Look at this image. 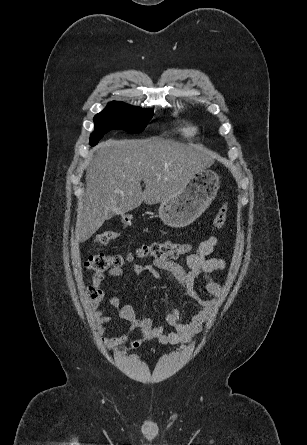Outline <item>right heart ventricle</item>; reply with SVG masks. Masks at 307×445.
Wrapping results in <instances>:
<instances>
[{"label":"right heart ventricle","instance_id":"e07e8e85","mask_svg":"<svg viewBox=\"0 0 307 445\" xmlns=\"http://www.w3.org/2000/svg\"><path fill=\"white\" fill-rule=\"evenodd\" d=\"M186 132H187L188 134H190V133L193 132V130H187Z\"/></svg>","mask_w":307,"mask_h":445}]
</instances>
